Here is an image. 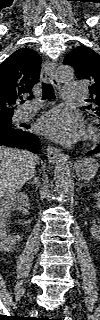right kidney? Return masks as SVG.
Returning a JSON list of instances; mask_svg holds the SVG:
<instances>
[{
  "instance_id": "right-kidney-1",
  "label": "right kidney",
  "mask_w": 100,
  "mask_h": 320,
  "mask_svg": "<svg viewBox=\"0 0 100 320\" xmlns=\"http://www.w3.org/2000/svg\"><path fill=\"white\" fill-rule=\"evenodd\" d=\"M29 197L23 192H17L1 198L0 201V245L5 251H11L17 241L21 239L19 235H8V217L11 211H18L27 214L29 209Z\"/></svg>"
}]
</instances>
